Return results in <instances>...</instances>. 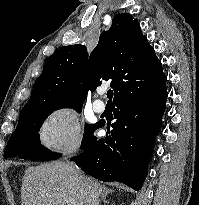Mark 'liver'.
<instances>
[{
	"label": "liver",
	"instance_id": "obj_1",
	"mask_svg": "<svg viewBox=\"0 0 199 205\" xmlns=\"http://www.w3.org/2000/svg\"><path fill=\"white\" fill-rule=\"evenodd\" d=\"M103 186L55 161L29 167L22 178V205H99Z\"/></svg>",
	"mask_w": 199,
	"mask_h": 205
}]
</instances>
